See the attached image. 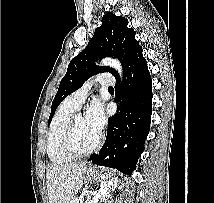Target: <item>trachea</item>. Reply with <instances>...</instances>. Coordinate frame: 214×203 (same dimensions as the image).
Returning a JSON list of instances; mask_svg holds the SVG:
<instances>
[{
  "label": "trachea",
  "instance_id": "trachea-1",
  "mask_svg": "<svg viewBox=\"0 0 214 203\" xmlns=\"http://www.w3.org/2000/svg\"><path fill=\"white\" fill-rule=\"evenodd\" d=\"M109 89H113V87H109Z\"/></svg>",
  "mask_w": 214,
  "mask_h": 203
}]
</instances>
